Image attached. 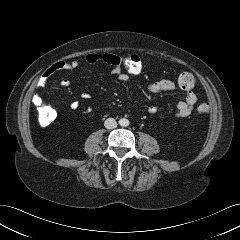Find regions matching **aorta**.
I'll use <instances>...</instances> for the list:
<instances>
[{
  "instance_id": "aorta-1",
  "label": "aorta",
  "mask_w": 240,
  "mask_h": 240,
  "mask_svg": "<svg viewBox=\"0 0 240 240\" xmlns=\"http://www.w3.org/2000/svg\"><path fill=\"white\" fill-rule=\"evenodd\" d=\"M119 124L123 127H126L129 125V121H128V119L122 118V119H120Z\"/></svg>"
}]
</instances>
